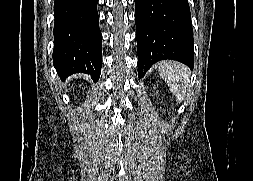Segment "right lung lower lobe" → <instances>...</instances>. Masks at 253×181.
<instances>
[{
    "label": "right lung lower lobe",
    "mask_w": 253,
    "mask_h": 181,
    "mask_svg": "<svg viewBox=\"0 0 253 181\" xmlns=\"http://www.w3.org/2000/svg\"><path fill=\"white\" fill-rule=\"evenodd\" d=\"M53 63L58 75L83 72L97 82L102 65V37L97 0H55Z\"/></svg>",
    "instance_id": "obj_1"
}]
</instances>
